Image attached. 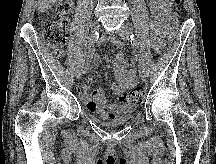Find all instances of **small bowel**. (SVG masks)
<instances>
[{"instance_id":"c3829d8e","label":"small bowel","mask_w":216,"mask_h":164,"mask_svg":"<svg viewBox=\"0 0 216 164\" xmlns=\"http://www.w3.org/2000/svg\"><path fill=\"white\" fill-rule=\"evenodd\" d=\"M174 0H150V10L152 13L150 25L152 29L153 46L159 50L165 36V28L170 17ZM96 65V59L91 57L84 66L85 71H90ZM116 84H113L111 90L118 97L116 102L108 103L103 90L97 89L89 92L92 83L90 77L82 80L77 90L86 108L93 114L102 119H111L120 114L126 113L131 106L125 102L126 92L137 83V75L134 64H128L122 53H118L113 61Z\"/></svg>"}]
</instances>
